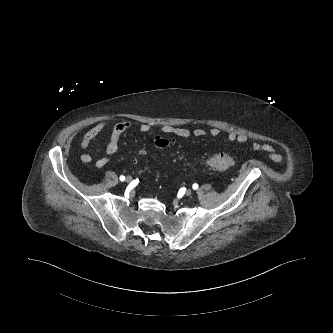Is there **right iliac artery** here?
I'll return each instance as SVG.
<instances>
[{"label": "right iliac artery", "mask_w": 333, "mask_h": 333, "mask_svg": "<svg viewBox=\"0 0 333 333\" xmlns=\"http://www.w3.org/2000/svg\"><path fill=\"white\" fill-rule=\"evenodd\" d=\"M120 180H121V181H124V180H125V176L121 175V176H120Z\"/></svg>", "instance_id": "obj_1"}]
</instances>
